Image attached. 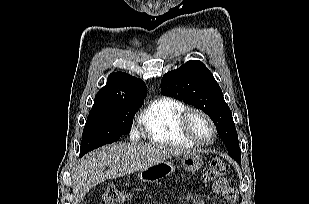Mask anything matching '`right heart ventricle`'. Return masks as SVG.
Listing matches in <instances>:
<instances>
[{"instance_id": "obj_1", "label": "right heart ventricle", "mask_w": 309, "mask_h": 204, "mask_svg": "<svg viewBox=\"0 0 309 204\" xmlns=\"http://www.w3.org/2000/svg\"><path fill=\"white\" fill-rule=\"evenodd\" d=\"M187 108L183 101L172 97L153 100L139 115L141 134L153 143L193 147L180 128L181 115Z\"/></svg>"}]
</instances>
